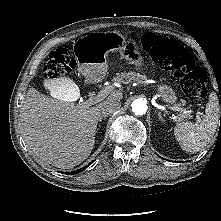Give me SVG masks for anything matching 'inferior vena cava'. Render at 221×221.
Returning a JSON list of instances; mask_svg holds the SVG:
<instances>
[{
	"label": "inferior vena cava",
	"instance_id": "1",
	"mask_svg": "<svg viewBox=\"0 0 221 221\" xmlns=\"http://www.w3.org/2000/svg\"><path fill=\"white\" fill-rule=\"evenodd\" d=\"M121 107L120 101H107L102 107V114L104 116L111 115L119 110Z\"/></svg>",
	"mask_w": 221,
	"mask_h": 221
}]
</instances>
